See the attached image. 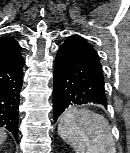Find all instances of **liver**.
I'll return each instance as SVG.
<instances>
[{
  "label": "liver",
  "instance_id": "liver-1",
  "mask_svg": "<svg viewBox=\"0 0 130 153\" xmlns=\"http://www.w3.org/2000/svg\"><path fill=\"white\" fill-rule=\"evenodd\" d=\"M6 138H7V135H6L5 131L2 130V129H0V145L2 143H4V141L6 140Z\"/></svg>",
  "mask_w": 130,
  "mask_h": 153
}]
</instances>
